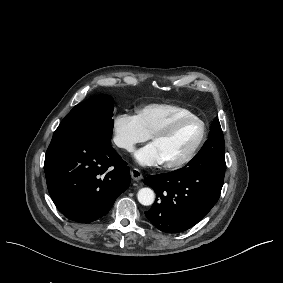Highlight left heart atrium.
Returning a JSON list of instances; mask_svg holds the SVG:
<instances>
[{
	"label": "left heart atrium",
	"instance_id": "obj_1",
	"mask_svg": "<svg viewBox=\"0 0 283 283\" xmlns=\"http://www.w3.org/2000/svg\"><path fill=\"white\" fill-rule=\"evenodd\" d=\"M136 163L145 168H152L165 163V157L156 141L151 142L134 153Z\"/></svg>",
	"mask_w": 283,
	"mask_h": 283
}]
</instances>
